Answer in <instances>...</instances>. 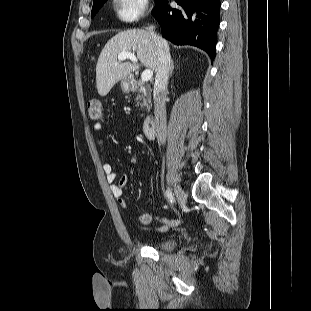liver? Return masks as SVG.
Masks as SVG:
<instances>
[{
	"label": "liver",
	"mask_w": 311,
	"mask_h": 311,
	"mask_svg": "<svg viewBox=\"0 0 311 311\" xmlns=\"http://www.w3.org/2000/svg\"><path fill=\"white\" fill-rule=\"evenodd\" d=\"M122 52L136 53L146 67L156 72L157 49L150 32L142 29L127 30L111 38L102 49L96 65V86L100 96H106L120 80L128 78L138 64L120 63L117 57Z\"/></svg>",
	"instance_id": "1"
}]
</instances>
